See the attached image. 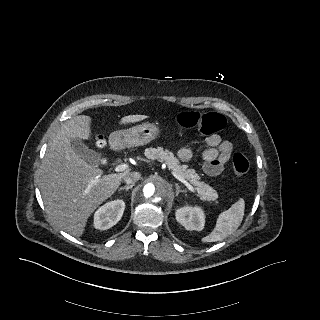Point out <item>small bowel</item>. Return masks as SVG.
I'll use <instances>...</instances> for the list:
<instances>
[{
	"mask_svg": "<svg viewBox=\"0 0 320 320\" xmlns=\"http://www.w3.org/2000/svg\"><path fill=\"white\" fill-rule=\"evenodd\" d=\"M205 143L207 148L202 153L203 170L209 176H219L230 160L234 146L232 142L223 140L219 134L208 136ZM178 157L181 161L188 162L193 157V150L188 147L181 148Z\"/></svg>",
	"mask_w": 320,
	"mask_h": 320,
	"instance_id": "c3829d8e",
	"label": "small bowel"
}]
</instances>
